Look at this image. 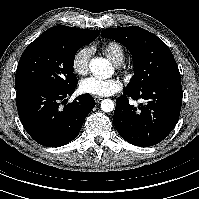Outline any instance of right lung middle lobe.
Segmentation results:
<instances>
[{
  "mask_svg": "<svg viewBox=\"0 0 199 199\" xmlns=\"http://www.w3.org/2000/svg\"><path fill=\"white\" fill-rule=\"evenodd\" d=\"M93 39H62L51 35H40L23 52L16 71V90L41 87L54 90L77 85L73 73L76 52Z\"/></svg>",
  "mask_w": 199,
  "mask_h": 199,
  "instance_id": "right-lung-middle-lobe-1",
  "label": "right lung middle lobe"
}]
</instances>
